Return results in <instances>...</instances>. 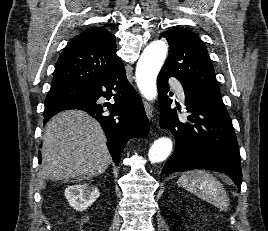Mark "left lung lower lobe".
<instances>
[{"mask_svg": "<svg viewBox=\"0 0 268 231\" xmlns=\"http://www.w3.org/2000/svg\"><path fill=\"white\" fill-rule=\"evenodd\" d=\"M170 74L160 71L157 78L161 108L160 126L175 136L173 155L162 174L191 169H210L229 174L240 190L242 181L238 143L231 119L209 100L183 86L188 121L179 120L167 92Z\"/></svg>", "mask_w": 268, "mask_h": 231, "instance_id": "0a47b994", "label": "left lung lower lobe"}]
</instances>
